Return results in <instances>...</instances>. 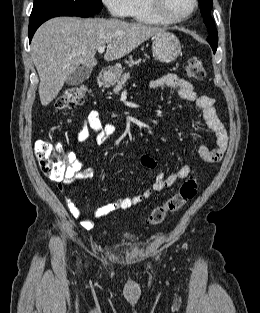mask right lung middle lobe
<instances>
[{
  "instance_id": "dd1d6c3e",
  "label": "right lung middle lobe",
  "mask_w": 260,
  "mask_h": 313,
  "mask_svg": "<svg viewBox=\"0 0 260 313\" xmlns=\"http://www.w3.org/2000/svg\"><path fill=\"white\" fill-rule=\"evenodd\" d=\"M102 8L101 0H34L32 13L61 11L96 14Z\"/></svg>"
}]
</instances>
